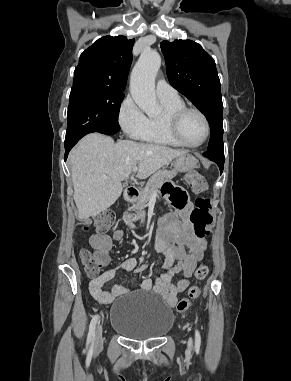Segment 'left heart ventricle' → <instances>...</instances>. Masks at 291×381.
<instances>
[{
	"instance_id": "1",
	"label": "left heart ventricle",
	"mask_w": 291,
	"mask_h": 381,
	"mask_svg": "<svg viewBox=\"0 0 291 381\" xmlns=\"http://www.w3.org/2000/svg\"><path fill=\"white\" fill-rule=\"evenodd\" d=\"M180 133L186 142L190 144L199 143L205 134L202 118L194 112L185 114L180 122Z\"/></svg>"
}]
</instances>
